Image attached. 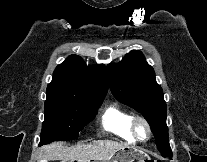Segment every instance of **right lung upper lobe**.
Here are the masks:
<instances>
[{"label": "right lung upper lobe", "instance_id": "obj_1", "mask_svg": "<svg viewBox=\"0 0 207 162\" xmlns=\"http://www.w3.org/2000/svg\"><path fill=\"white\" fill-rule=\"evenodd\" d=\"M108 91L104 65L87 67L81 57L69 56L53 73L47 92L81 97H105Z\"/></svg>", "mask_w": 207, "mask_h": 162}]
</instances>
